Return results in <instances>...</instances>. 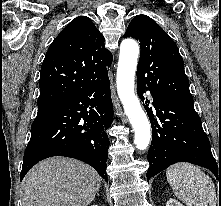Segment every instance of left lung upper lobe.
Returning a JSON list of instances; mask_svg holds the SVG:
<instances>
[{"label":"left lung upper lobe","mask_w":221,"mask_h":206,"mask_svg":"<svg viewBox=\"0 0 221 206\" xmlns=\"http://www.w3.org/2000/svg\"><path fill=\"white\" fill-rule=\"evenodd\" d=\"M124 37L140 42L137 67L140 86L166 101L194 106L178 47L153 19L146 15L135 16Z\"/></svg>","instance_id":"left-lung-upper-lobe-1"}]
</instances>
